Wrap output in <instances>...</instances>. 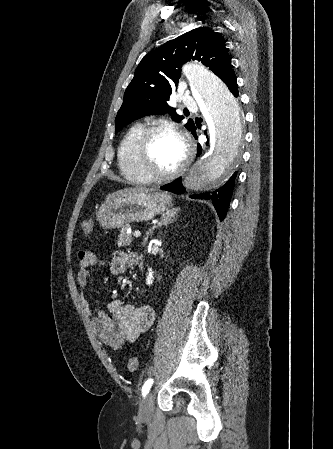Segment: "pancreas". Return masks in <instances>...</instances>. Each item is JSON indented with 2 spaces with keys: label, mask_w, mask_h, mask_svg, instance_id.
<instances>
[{
  "label": "pancreas",
  "mask_w": 333,
  "mask_h": 449,
  "mask_svg": "<svg viewBox=\"0 0 333 449\" xmlns=\"http://www.w3.org/2000/svg\"><path fill=\"white\" fill-rule=\"evenodd\" d=\"M127 227H124L121 230V233L119 235V239L117 241L118 246H123V245H130L131 241H132V236L130 233L126 232Z\"/></svg>",
  "instance_id": "pancreas-1"
}]
</instances>
